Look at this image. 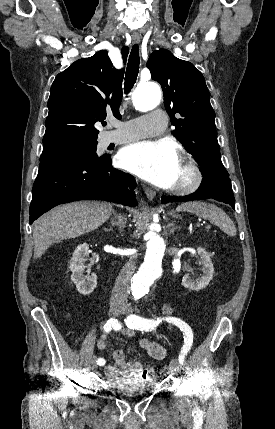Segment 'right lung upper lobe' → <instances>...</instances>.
Wrapping results in <instances>:
<instances>
[{"label": "right lung upper lobe", "mask_w": 275, "mask_h": 429, "mask_svg": "<svg viewBox=\"0 0 275 429\" xmlns=\"http://www.w3.org/2000/svg\"><path fill=\"white\" fill-rule=\"evenodd\" d=\"M127 54L128 48L124 47V60ZM123 76L124 70L113 67L105 50L79 59L59 73L50 89L41 157L97 143L99 131L94 124L102 122L107 114L121 117Z\"/></svg>", "instance_id": "1"}]
</instances>
